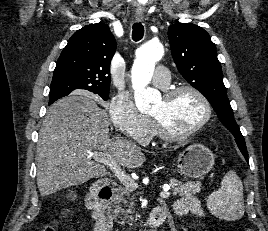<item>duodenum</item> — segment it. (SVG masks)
I'll use <instances>...</instances> for the list:
<instances>
[{
    "mask_svg": "<svg viewBox=\"0 0 268 231\" xmlns=\"http://www.w3.org/2000/svg\"><path fill=\"white\" fill-rule=\"evenodd\" d=\"M112 197L111 181L109 179H102L95 183L92 192L86 198V204L93 211V218L97 224L96 231H120L119 229L112 228L104 215V208L112 200ZM164 220L165 214L163 210L154 209L148 216L146 227L147 229L157 227Z\"/></svg>",
    "mask_w": 268,
    "mask_h": 231,
    "instance_id": "410a0bca",
    "label": "duodenum"
}]
</instances>
